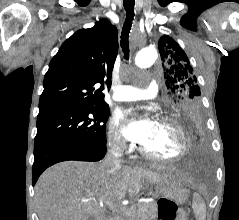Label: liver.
I'll use <instances>...</instances> for the list:
<instances>
[{
  "label": "liver",
  "instance_id": "1",
  "mask_svg": "<svg viewBox=\"0 0 239 220\" xmlns=\"http://www.w3.org/2000/svg\"><path fill=\"white\" fill-rule=\"evenodd\" d=\"M190 184L180 172L159 174L142 167L64 161L48 168L35 185L39 220H107L105 207L126 195L133 198L144 184Z\"/></svg>",
  "mask_w": 239,
  "mask_h": 220
}]
</instances>
